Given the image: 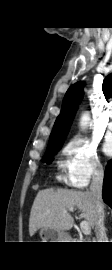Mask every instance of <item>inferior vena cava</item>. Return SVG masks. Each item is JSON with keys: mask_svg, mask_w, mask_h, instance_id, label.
Listing matches in <instances>:
<instances>
[{"mask_svg": "<svg viewBox=\"0 0 112 270\" xmlns=\"http://www.w3.org/2000/svg\"><path fill=\"white\" fill-rule=\"evenodd\" d=\"M104 171L101 165H98L94 171L92 182L90 185V194L95 203V232L97 242H108V238L104 228V205L102 200V186H103Z\"/></svg>", "mask_w": 112, "mask_h": 270, "instance_id": "inferior-vena-cava-1", "label": "inferior vena cava"}]
</instances>
